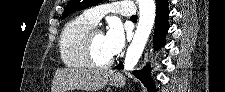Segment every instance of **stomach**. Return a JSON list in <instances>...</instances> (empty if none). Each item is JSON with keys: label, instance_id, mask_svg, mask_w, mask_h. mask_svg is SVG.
Returning <instances> with one entry per match:
<instances>
[{"label": "stomach", "instance_id": "obj_1", "mask_svg": "<svg viewBox=\"0 0 225 92\" xmlns=\"http://www.w3.org/2000/svg\"><path fill=\"white\" fill-rule=\"evenodd\" d=\"M109 79H110V84L116 87H122L125 84L124 77L117 73H112Z\"/></svg>", "mask_w": 225, "mask_h": 92}]
</instances>
